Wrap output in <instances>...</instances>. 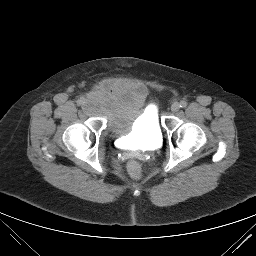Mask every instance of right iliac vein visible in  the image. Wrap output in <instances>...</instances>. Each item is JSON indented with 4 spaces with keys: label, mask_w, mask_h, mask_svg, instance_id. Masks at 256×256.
I'll return each mask as SVG.
<instances>
[{
    "label": "right iliac vein",
    "mask_w": 256,
    "mask_h": 256,
    "mask_svg": "<svg viewBox=\"0 0 256 256\" xmlns=\"http://www.w3.org/2000/svg\"><path fill=\"white\" fill-rule=\"evenodd\" d=\"M85 106H86V107H89V106H90V103H89V102H86V103H85Z\"/></svg>",
    "instance_id": "1"
}]
</instances>
